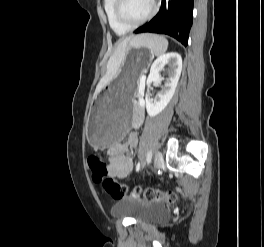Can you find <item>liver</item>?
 Masks as SVG:
<instances>
[{"mask_svg":"<svg viewBox=\"0 0 264 247\" xmlns=\"http://www.w3.org/2000/svg\"><path fill=\"white\" fill-rule=\"evenodd\" d=\"M140 36L142 35H139L136 37H133V36L127 37L118 43L114 53L112 54V56L110 57L108 61L107 72L105 76L101 78V80L99 81L96 87L94 98L99 94V92L106 85H108L113 80L114 77H116V75L118 74L119 68L125 59L126 51H127L129 44L132 41H135L136 39H138Z\"/></svg>","mask_w":264,"mask_h":247,"instance_id":"obj_1","label":"liver"}]
</instances>
